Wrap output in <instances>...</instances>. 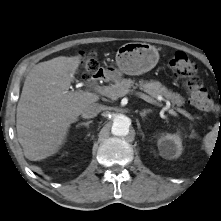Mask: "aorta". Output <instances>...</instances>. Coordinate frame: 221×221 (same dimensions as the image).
I'll return each instance as SVG.
<instances>
[{
  "label": "aorta",
  "instance_id": "762f6f07",
  "mask_svg": "<svg viewBox=\"0 0 221 221\" xmlns=\"http://www.w3.org/2000/svg\"><path fill=\"white\" fill-rule=\"evenodd\" d=\"M112 128L111 132L116 136H126L129 133V127L131 125L130 119L121 113L112 115Z\"/></svg>",
  "mask_w": 221,
  "mask_h": 221
}]
</instances>
